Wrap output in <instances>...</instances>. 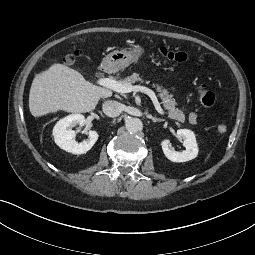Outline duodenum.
Wrapping results in <instances>:
<instances>
[{
  "mask_svg": "<svg viewBox=\"0 0 255 255\" xmlns=\"http://www.w3.org/2000/svg\"><path fill=\"white\" fill-rule=\"evenodd\" d=\"M100 73L101 74H106L108 73L109 69H108V64L107 63H104L100 69H99Z\"/></svg>",
  "mask_w": 255,
  "mask_h": 255,
  "instance_id": "duodenum-1",
  "label": "duodenum"
}]
</instances>
